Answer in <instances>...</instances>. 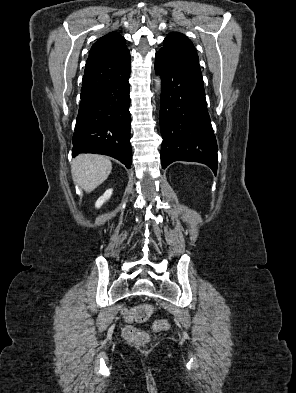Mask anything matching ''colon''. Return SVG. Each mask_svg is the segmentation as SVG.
Segmentation results:
<instances>
[{"instance_id":"obj_1","label":"colon","mask_w":296,"mask_h":393,"mask_svg":"<svg viewBox=\"0 0 296 393\" xmlns=\"http://www.w3.org/2000/svg\"><path fill=\"white\" fill-rule=\"evenodd\" d=\"M155 312V307L151 304L137 305L123 311V315L128 322H145ZM169 327L167 320H159L153 324L154 331L165 330ZM124 336L135 345L144 346L149 342V335L142 330L127 326L124 329Z\"/></svg>"}]
</instances>
